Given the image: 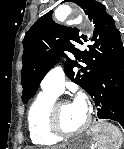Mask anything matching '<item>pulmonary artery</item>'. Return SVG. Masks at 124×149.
I'll list each match as a JSON object with an SVG mask.
<instances>
[{
  "label": "pulmonary artery",
  "mask_w": 124,
  "mask_h": 149,
  "mask_svg": "<svg viewBox=\"0 0 124 149\" xmlns=\"http://www.w3.org/2000/svg\"><path fill=\"white\" fill-rule=\"evenodd\" d=\"M64 72L61 65L51 68L42 81V89L44 91L61 94L64 90Z\"/></svg>",
  "instance_id": "obj_1"
}]
</instances>
